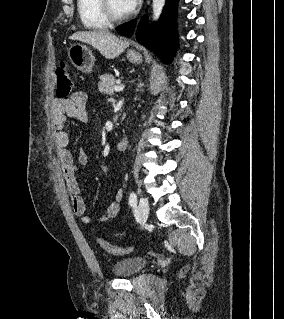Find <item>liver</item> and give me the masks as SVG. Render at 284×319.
<instances>
[{"instance_id":"6515ba94","label":"liver","mask_w":284,"mask_h":319,"mask_svg":"<svg viewBox=\"0 0 284 319\" xmlns=\"http://www.w3.org/2000/svg\"><path fill=\"white\" fill-rule=\"evenodd\" d=\"M70 39L92 45L107 59H114L130 45L128 40L119 39L108 30L78 31Z\"/></svg>"}]
</instances>
